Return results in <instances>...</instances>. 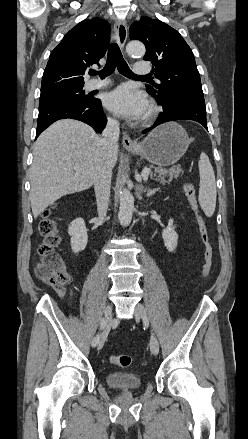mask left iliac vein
<instances>
[{
    "label": "left iliac vein",
    "mask_w": 248,
    "mask_h": 439,
    "mask_svg": "<svg viewBox=\"0 0 248 439\" xmlns=\"http://www.w3.org/2000/svg\"><path fill=\"white\" fill-rule=\"evenodd\" d=\"M135 315L143 320L144 323L149 324V317L145 307L141 304H137L135 307ZM150 350L153 355H157L159 352V342L155 332L152 331L150 338Z\"/></svg>",
    "instance_id": "1"
}]
</instances>
